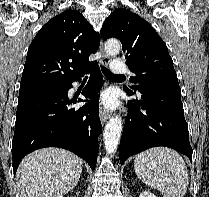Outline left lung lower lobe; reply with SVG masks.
<instances>
[{
  "label": "left lung lower lobe",
  "instance_id": "left-lung-lower-lobe-1",
  "mask_svg": "<svg viewBox=\"0 0 209 197\" xmlns=\"http://www.w3.org/2000/svg\"><path fill=\"white\" fill-rule=\"evenodd\" d=\"M138 92L139 97L128 103L119 149L121 165L128 157L156 146L170 147L192 160L180 88L144 86Z\"/></svg>",
  "mask_w": 209,
  "mask_h": 197
}]
</instances>
